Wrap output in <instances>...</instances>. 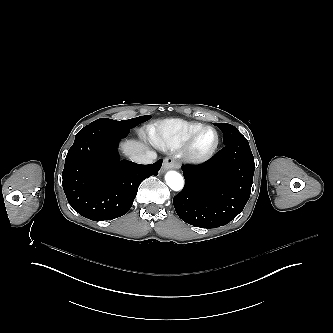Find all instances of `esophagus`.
I'll list each match as a JSON object with an SVG mask.
<instances>
[{
    "label": "esophagus",
    "instance_id": "1",
    "mask_svg": "<svg viewBox=\"0 0 333 333\" xmlns=\"http://www.w3.org/2000/svg\"><path fill=\"white\" fill-rule=\"evenodd\" d=\"M181 164L179 161L174 160L171 157H166L163 161V171L169 170V169H178L180 168Z\"/></svg>",
    "mask_w": 333,
    "mask_h": 333
}]
</instances>
